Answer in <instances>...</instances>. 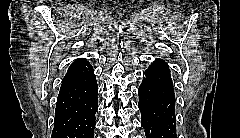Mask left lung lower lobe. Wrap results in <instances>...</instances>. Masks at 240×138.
Here are the masks:
<instances>
[{
  "instance_id": "left-lung-lower-lobe-1",
  "label": "left lung lower lobe",
  "mask_w": 240,
  "mask_h": 138,
  "mask_svg": "<svg viewBox=\"0 0 240 138\" xmlns=\"http://www.w3.org/2000/svg\"><path fill=\"white\" fill-rule=\"evenodd\" d=\"M138 89L141 124L147 138H176L175 96L166 62L156 59Z\"/></svg>"
}]
</instances>
